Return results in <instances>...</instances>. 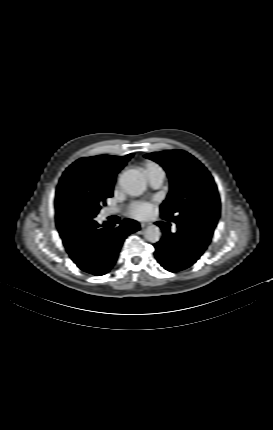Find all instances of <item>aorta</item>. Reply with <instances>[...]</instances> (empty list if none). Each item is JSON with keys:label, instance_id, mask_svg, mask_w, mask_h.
<instances>
[{"label": "aorta", "instance_id": "1", "mask_svg": "<svg viewBox=\"0 0 273 430\" xmlns=\"http://www.w3.org/2000/svg\"><path fill=\"white\" fill-rule=\"evenodd\" d=\"M120 185L122 189L130 196H139L147 188L145 176L138 170H128L120 177ZM161 231L156 225L148 226L145 230V238L151 243H156L160 240Z\"/></svg>", "mask_w": 273, "mask_h": 430}]
</instances>
